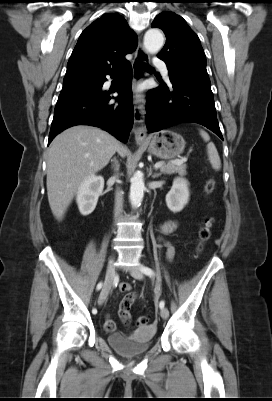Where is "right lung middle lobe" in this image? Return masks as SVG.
Wrapping results in <instances>:
<instances>
[{
    "mask_svg": "<svg viewBox=\"0 0 272 401\" xmlns=\"http://www.w3.org/2000/svg\"><path fill=\"white\" fill-rule=\"evenodd\" d=\"M95 83H96V82L91 83V84H95ZM88 85H90V84H88ZM79 88H80V87H79ZM75 89H77V88H75ZM75 89H72V90H64V91H61L60 94L68 93V92H71V91H73V90H75Z\"/></svg>",
    "mask_w": 272,
    "mask_h": 401,
    "instance_id": "right-lung-middle-lobe-1",
    "label": "right lung middle lobe"
}]
</instances>
